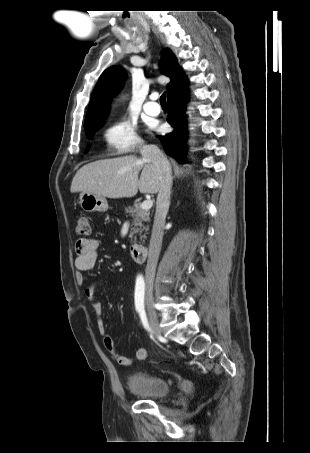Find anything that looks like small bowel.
<instances>
[{"label":"small bowel","instance_id":"c3829d8e","mask_svg":"<svg viewBox=\"0 0 310 453\" xmlns=\"http://www.w3.org/2000/svg\"><path fill=\"white\" fill-rule=\"evenodd\" d=\"M99 242L92 238H79L75 243V259L74 266L76 269V281L78 284H83L85 277L84 272L94 268L99 253ZM100 286V283H93L84 289V295L90 301L94 312L98 316L97 328L103 338V344L108 353L116 360V362L122 366H130L132 363L131 358L121 354L114 344V341L110 335L106 333V326L102 319V305L95 298V292ZM147 357V351L145 348H139L136 350V359L139 361L145 360Z\"/></svg>","mask_w":310,"mask_h":453}]
</instances>
